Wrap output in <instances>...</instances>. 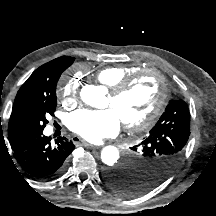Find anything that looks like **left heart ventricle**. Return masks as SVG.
Wrapping results in <instances>:
<instances>
[{
    "label": "left heart ventricle",
    "mask_w": 216,
    "mask_h": 216,
    "mask_svg": "<svg viewBox=\"0 0 216 216\" xmlns=\"http://www.w3.org/2000/svg\"><path fill=\"white\" fill-rule=\"evenodd\" d=\"M159 89L158 79L146 74L118 99L109 96L107 107L114 109L121 121L135 123L149 114L158 98Z\"/></svg>",
    "instance_id": "left-heart-ventricle-1"
}]
</instances>
